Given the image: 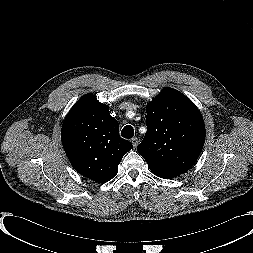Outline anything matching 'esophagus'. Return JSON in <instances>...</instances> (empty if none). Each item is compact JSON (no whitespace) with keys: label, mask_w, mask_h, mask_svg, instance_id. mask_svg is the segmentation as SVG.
I'll list each match as a JSON object with an SVG mask.
<instances>
[{"label":"esophagus","mask_w":253,"mask_h":253,"mask_svg":"<svg viewBox=\"0 0 253 253\" xmlns=\"http://www.w3.org/2000/svg\"><path fill=\"white\" fill-rule=\"evenodd\" d=\"M131 142H132L134 148H136L139 144V139L137 137H134L131 139Z\"/></svg>","instance_id":"esophagus-1"}]
</instances>
